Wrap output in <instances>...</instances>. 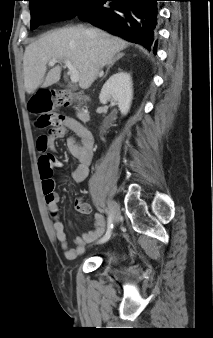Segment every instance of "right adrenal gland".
I'll list each match as a JSON object with an SVG mask.
<instances>
[{"mask_svg": "<svg viewBox=\"0 0 213 338\" xmlns=\"http://www.w3.org/2000/svg\"><path fill=\"white\" fill-rule=\"evenodd\" d=\"M123 56H124V53H119L113 60L109 61V63L107 64V70H106L105 74H103V72H102L99 77L100 78L106 77L110 68Z\"/></svg>", "mask_w": 213, "mask_h": 338, "instance_id": "obj_1", "label": "right adrenal gland"}]
</instances>
